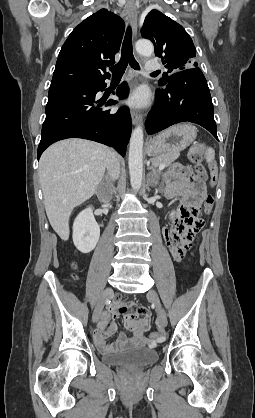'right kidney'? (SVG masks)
Listing matches in <instances>:
<instances>
[{"instance_id":"ca27d5eb","label":"right kidney","mask_w":255,"mask_h":418,"mask_svg":"<svg viewBox=\"0 0 255 418\" xmlns=\"http://www.w3.org/2000/svg\"><path fill=\"white\" fill-rule=\"evenodd\" d=\"M100 237V228L91 208H86L78 214L73 224V242L82 253L91 252Z\"/></svg>"}]
</instances>
